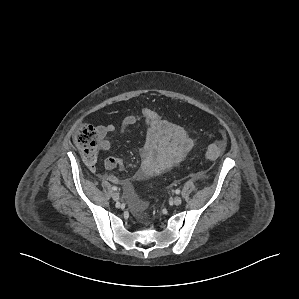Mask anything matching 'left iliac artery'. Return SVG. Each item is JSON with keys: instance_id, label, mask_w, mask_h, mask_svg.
I'll return each mask as SVG.
<instances>
[{"instance_id": "44dca946", "label": "left iliac artery", "mask_w": 299, "mask_h": 299, "mask_svg": "<svg viewBox=\"0 0 299 299\" xmlns=\"http://www.w3.org/2000/svg\"><path fill=\"white\" fill-rule=\"evenodd\" d=\"M175 193H176V194H179V193H180V190H179V189H176V190H175Z\"/></svg>"}]
</instances>
